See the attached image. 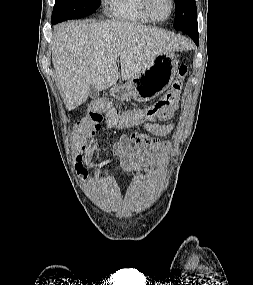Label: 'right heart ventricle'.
I'll return each instance as SVG.
<instances>
[{
    "label": "right heart ventricle",
    "mask_w": 253,
    "mask_h": 285,
    "mask_svg": "<svg viewBox=\"0 0 253 285\" xmlns=\"http://www.w3.org/2000/svg\"><path fill=\"white\" fill-rule=\"evenodd\" d=\"M108 8L113 16L124 21L153 22L144 12L142 0H109Z\"/></svg>",
    "instance_id": "e07e8e85"
}]
</instances>
